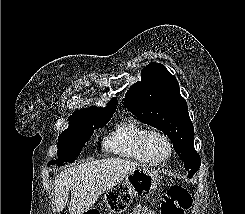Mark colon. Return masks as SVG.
Masks as SVG:
<instances>
[{"label":"colon","instance_id":"1","mask_svg":"<svg viewBox=\"0 0 245 214\" xmlns=\"http://www.w3.org/2000/svg\"><path fill=\"white\" fill-rule=\"evenodd\" d=\"M192 199L183 187L170 188L161 203V214H184L190 208ZM143 214H156L152 210L144 211Z\"/></svg>","mask_w":245,"mask_h":214}]
</instances>
